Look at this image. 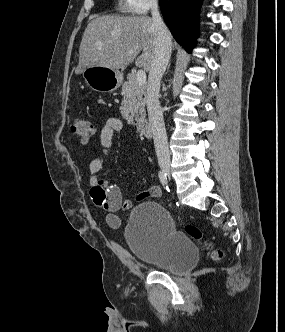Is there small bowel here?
Wrapping results in <instances>:
<instances>
[{
    "instance_id": "c3829d8e",
    "label": "small bowel",
    "mask_w": 285,
    "mask_h": 332,
    "mask_svg": "<svg viewBox=\"0 0 285 332\" xmlns=\"http://www.w3.org/2000/svg\"><path fill=\"white\" fill-rule=\"evenodd\" d=\"M122 129L123 122L119 118L110 117L107 119L99 134L100 153L89 164L91 199L96 206L103 208L108 213L107 222L113 228L120 226V219L116 215V212L130 209L133 203L129 198H123L118 186L110 185L106 179L100 178L99 173L103 167L105 156L113 144L115 133L122 131ZM128 150H131V148H128ZM160 194V188L152 186L140 192L136 200L140 202L149 198L159 197Z\"/></svg>"
}]
</instances>
